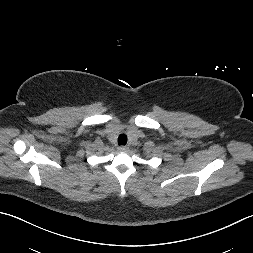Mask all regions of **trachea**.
Wrapping results in <instances>:
<instances>
[{
    "instance_id": "trachea-1",
    "label": "trachea",
    "mask_w": 253,
    "mask_h": 253,
    "mask_svg": "<svg viewBox=\"0 0 253 253\" xmlns=\"http://www.w3.org/2000/svg\"><path fill=\"white\" fill-rule=\"evenodd\" d=\"M127 143V136L125 134H121L118 137V145H126Z\"/></svg>"
}]
</instances>
